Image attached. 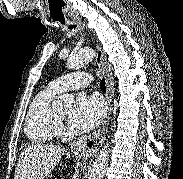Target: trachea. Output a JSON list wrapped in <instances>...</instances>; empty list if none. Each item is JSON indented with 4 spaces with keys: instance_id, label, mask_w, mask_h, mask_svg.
Returning <instances> with one entry per match:
<instances>
[{
    "instance_id": "1",
    "label": "trachea",
    "mask_w": 183,
    "mask_h": 179,
    "mask_svg": "<svg viewBox=\"0 0 183 179\" xmlns=\"http://www.w3.org/2000/svg\"><path fill=\"white\" fill-rule=\"evenodd\" d=\"M53 18H55V20L59 21L61 24H65V18H64V14L62 13V11L60 12H55L53 14ZM75 25H69V29H73L75 28ZM100 88L101 90L105 91L106 90V86H105V79L103 78L100 82Z\"/></svg>"
}]
</instances>
